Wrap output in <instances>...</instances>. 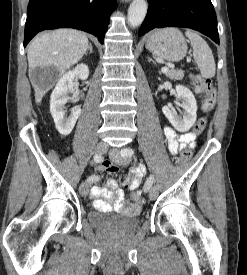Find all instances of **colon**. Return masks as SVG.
I'll use <instances>...</instances> for the list:
<instances>
[{"instance_id": "obj_1", "label": "colon", "mask_w": 247, "mask_h": 275, "mask_svg": "<svg viewBox=\"0 0 247 275\" xmlns=\"http://www.w3.org/2000/svg\"><path fill=\"white\" fill-rule=\"evenodd\" d=\"M192 83L197 93L203 95L202 110L205 113L211 112L216 104V88L214 84L209 80L202 78L198 75L191 76ZM207 126V119L200 117L194 125V134H200ZM192 157V151L190 149L183 150L179 155L174 158L175 164H184L189 161ZM105 169H111L113 165L106 161L103 163ZM133 198L136 203L143 204L144 197L141 191H135Z\"/></svg>"}]
</instances>
